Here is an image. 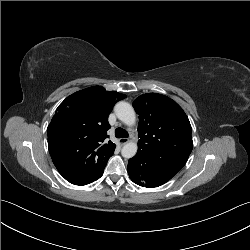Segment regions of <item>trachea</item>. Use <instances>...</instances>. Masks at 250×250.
I'll use <instances>...</instances> for the list:
<instances>
[{
    "instance_id": "obj_1",
    "label": "trachea",
    "mask_w": 250,
    "mask_h": 250,
    "mask_svg": "<svg viewBox=\"0 0 250 250\" xmlns=\"http://www.w3.org/2000/svg\"><path fill=\"white\" fill-rule=\"evenodd\" d=\"M115 136H116V138H127L128 132L122 128H116Z\"/></svg>"
}]
</instances>
